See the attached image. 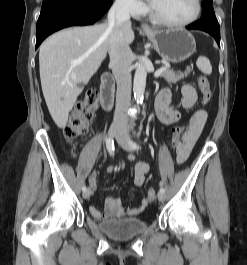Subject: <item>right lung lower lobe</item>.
Masks as SVG:
<instances>
[{
  "instance_id": "1",
  "label": "right lung lower lobe",
  "mask_w": 247,
  "mask_h": 265,
  "mask_svg": "<svg viewBox=\"0 0 247 265\" xmlns=\"http://www.w3.org/2000/svg\"><path fill=\"white\" fill-rule=\"evenodd\" d=\"M113 0H43L36 28V48L53 32L97 22Z\"/></svg>"
}]
</instances>
